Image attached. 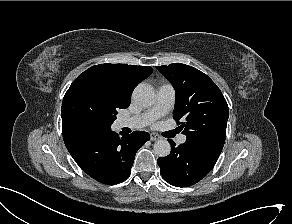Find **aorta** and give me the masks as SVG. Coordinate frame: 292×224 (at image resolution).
<instances>
[{
	"label": "aorta",
	"instance_id": "762f6f07",
	"mask_svg": "<svg viewBox=\"0 0 292 224\" xmlns=\"http://www.w3.org/2000/svg\"><path fill=\"white\" fill-rule=\"evenodd\" d=\"M132 98L137 105L149 107L154 103L155 93L150 86L140 84L134 89ZM153 148L154 153L159 157H166L171 151L170 143L165 139L156 141Z\"/></svg>",
	"mask_w": 292,
	"mask_h": 224
}]
</instances>
